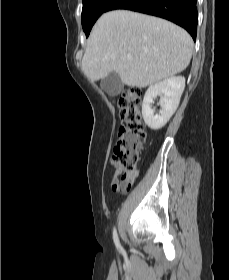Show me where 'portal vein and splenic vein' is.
Returning <instances> with one entry per match:
<instances>
[{"instance_id":"1","label":"portal vein and splenic vein","mask_w":229,"mask_h":280,"mask_svg":"<svg viewBox=\"0 0 229 280\" xmlns=\"http://www.w3.org/2000/svg\"><path fill=\"white\" fill-rule=\"evenodd\" d=\"M127 58H128L129 60H131V59H132V56H131V55H128Z\"/></svg>"}]
</instances>
